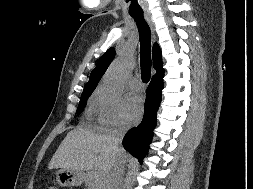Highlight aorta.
I'll return each instance as SVG.
<instances>
[{"label": "aorta", "instance_id": "762f6f07", "mask_svg": "<svg viewBox=\"0 0 253 189\" xmlns=\"http://www.w3.org/2000/svg\"><path fill=\"white\" fill-rule=\"evenodd\" d=\"M131 64L127 58H122L114 63L103 82V87L107 93L113 96L120 95L123 90V82Z\"/></svg>", "mask_w": 253, "mask_h": 189}]
</instances>
